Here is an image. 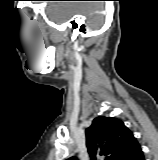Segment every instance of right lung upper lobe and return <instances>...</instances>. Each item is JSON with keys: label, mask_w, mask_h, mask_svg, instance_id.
<instances>
[{"label": "right lung upper lobe", "mask_w": 158, "mask_h": 160, "mask_svg": "<svg viewBox=\"0 0 158 160\" xmlns=\"http://www.w3.org/2000/svg\"><path fill=\"white\" fill-rule=\"evenodd\" d=\"M85 133L91 160H97L98 156H104L105 160H127L140 146L124 123L113 117L95 118Z\"/></svg>", "instance_id": "right-lung-upper-lobe-1"}]
</instances>
